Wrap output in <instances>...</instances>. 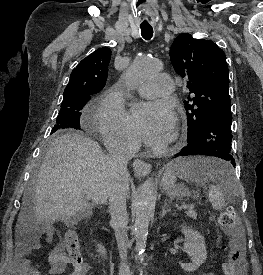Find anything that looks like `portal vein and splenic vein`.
<instances>
[{
  "label": "portal vein and splenic vein",
  "mask_w": 263,
  "mask_h": 275,
  "mask_svg": "<svg viewBox=\"0 0 263 275\" xmlns=\"http://www.w3.org/2000/svg\"><path fill=\"white\" fill-rule=\"evenodd\" d=\"M187 208H191L189 205H183V206H180L178 209H187Z\"/></svg>",
  "instance_id": "portal-vein-and-splenic-vein-1"
}]
</instances>
